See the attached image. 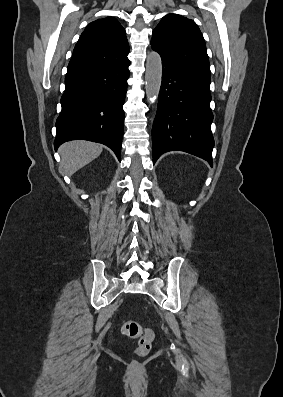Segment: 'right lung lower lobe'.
Here are the masks:
<instances>
[{"label": "right lung lower lobe", "mask_w": 283, "mask_h": 397, "mask_svg": "<svg viewBox=\"0 0 283 397\" xmlns=\"http://www.w3.org/2000/svg\"><path fill=\"white\" fill-rule=\"evenodd\" d=\"M130 61L66 76L54 147L83 139L111 148L120 160L123 103Z\"/></svg>", "instance_id": "1"}]
</instances>
